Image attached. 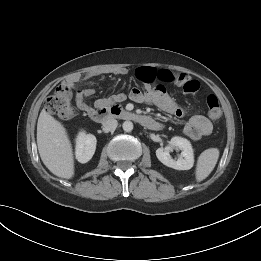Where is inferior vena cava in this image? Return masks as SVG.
<instances>
[{
	"mask_svg": "<svg viewBox=\"0 0 261 261\" xmlns=\"http://www.w3.org/2000/svg\"><path fill=\"white\" fill-rule=\"evenodd\" d=\"M118 125V122L116 119L114 118H109L107 119L104 123H103V126L106 130L108 131H115L116 127Z\"/></svg>",
	"mask_w": 261,
	"mask_h": 261,
	"instance_id": "1",
	"label": "inferior vena cava"
}]
</instances>
